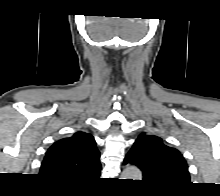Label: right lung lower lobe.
Returning a JSON list of instances; mask_svg holds the SVG:
<instances>
[{
  "mask_svg": "<svg viewBox=\"0 0 220 196\" xmlns=\"http://www.w3.org/2000/svg\"><path fill=\"white\" fill-rule=\"evenodd\" d=\"M53 184L56 185V186L70 187V185H63V184H56V183H53Z\"/></svg>",
  "mask_w": 220,
  "mask_h": 196,
  "instance_id": "right-lung-lower-lobe-1",
  "label": "right lung lower lobe"
}]
</instances>
